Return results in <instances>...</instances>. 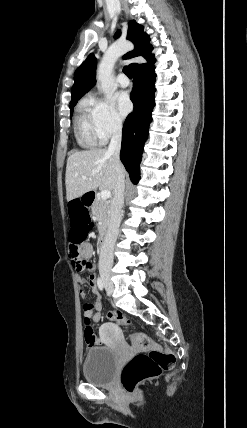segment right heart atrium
Instances as JSON below:
<instances>
[{
  "label": "right heart atrium",
  "instance_id": "d8ad5b80",
  "mask_svg": "<svg viewBox=\"0 0 247 428\" xmlns=\"http://www.w3.org/2000/svg\"><path fill=\"white\" fill-rule=\"evenodd\" d=\"M91 114L96 135L101 142H106L122 131V120L109 99H94L91 103Z\"/></svg>",
  "mask_w": 247,
  "mask_h": 428
}]
</instances>
